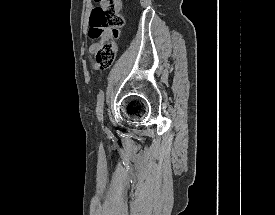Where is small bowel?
Returning a JSON list of instances; mask_svg holds the SVG:
<instances>
[{
    "label": "small bowel",
    "instance_id": "1",
    "mask_svg": "<svg viewBox=\"0 0 275 215\" xmlns=\"http://www.w3.org/2000/svg\"><path fill=\"white\" fill-rule=\"evenodd\" d=\"M95 49H96V43H93V44L90 46V49H89L90 53L92 54V53L95 51Z\"/></svg>",
    "mask_w": 275,
    "mask_h": 215
}]
</instances>
